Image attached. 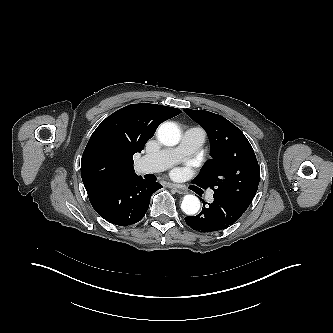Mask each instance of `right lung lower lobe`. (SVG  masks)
<instances>
[{
	"instance_id": "1",
	"label": "right lung lower lobe",
	"mask_w": 333,
	"mask_h": 333,
	"mask_svg": "<svg viewBox=\"0 0 333 333\" xmlns=\"http://www.w3.org/2000/svg\"><path fill=\"white\" fill-rule=\"evenodd\" d=\"M160 188L161 184L136 176L106 185L88 196L94 210L102 218L127 226L144 217L151 195Z\"/></svg>"
}]
</instances>
